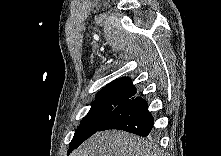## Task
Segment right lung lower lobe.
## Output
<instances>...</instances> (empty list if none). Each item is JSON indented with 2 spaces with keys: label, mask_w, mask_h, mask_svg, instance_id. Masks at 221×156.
Returning a JSON list of instances; mask_svg holds the SVG:
<instances>
[{
  "label": "right lung lower lobe",
  "mask_w": 221,
  "mask_h": 156,
  "mask_svg": "<svg viewBox=\"0 0 221 156\" xmlns=\"http://www.w3.org/2000/svg\"><path fill=\"white\" fill-rule=\"evenodd\" d=\"M153 124L154 118L146 101L141 97H131L111 112L98 131L119 129L147 137L152 132Z\"/></svg>",
  "instance_id": "98d812e1"
}]
</instances>
